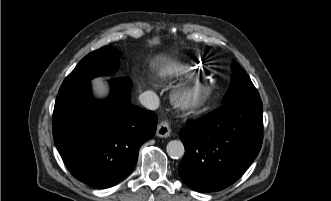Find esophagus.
I'll list each match as a JSON object with an SVG mask.
<instances>
[{
  "mask_svg": "<svg viewBox=\"0 0 331 201\" xmlns=\"http://www.w3.org/2000/svg\"><path fill=\"white\" fill-rule=\"evenodd\" d=\"M170 133L171 128L169 126V123L167 121L160 122L156 130V136L161 138H167L170 136Z\"/></svg>",
  "mask_w": 331,
  "mask_h": 201,
  "instance_id": "obj_1",
  "label": "esophagus"
}]
</instances>
